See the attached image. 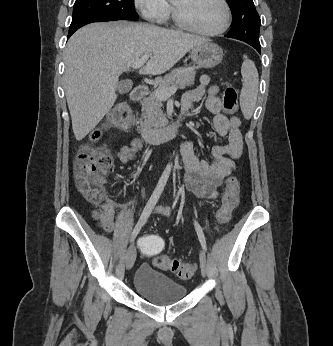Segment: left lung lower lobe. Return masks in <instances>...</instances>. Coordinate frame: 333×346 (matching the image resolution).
Masks as SVG:
<instances>
[{
	"mask_svg": "<svg viewBox=\"0 0 333 346\" xmlns=\"http://www.w3.org/2000/svg\"><path fill=\"white\" fill-rule=\"evenodd\" d=\"M227 36V35H226ZM248 44H250L251 46H253L259 53H261V47H260V43L258 42H246Z\"/></svg>",
	"mask_w": 333,
	"mask_h": 346,
	"instance_id": "1",
	"label": "left lung lower lobe"
}]
</instances>
